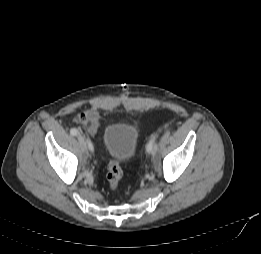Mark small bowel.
Segmentation results:
<instances>
[{
    "mask_svg": "<svg viewBox=\"0 0 261 254\" xmlns=\"http://www.w3.org/2000/svg\"><path fill=\"white\" fill-rule=\"evenodd\" d=\"M74 121L83 125L87 132L90 135H93L101 126L103 118L96 110L88 109L77 114L74 118Z\"/></svg>",
    "mask_w": 261,
    "mask_h": 254,
    "instance_id": "obj_1",
    "label": "small bowel"
}]
</instances>
